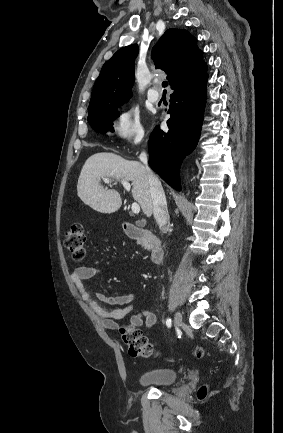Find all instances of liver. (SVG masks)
<instances>
[{"instance_id": "liver-1", "label": "liver", "mask_w": 283, "mask_h": 433, "mask_svg": "<svg viewBox=\"0 0 283 433\" xmlns=\"http://www.w3.org/2000/svg\"><path fill=\"white\" fill-rule=\"evenodd\" d=\"M110 176L116 180H131L132 196L139 202L146 217L153 212V198L145 166L138 160H126L114 152H96L82 166L77 184L81 200L98 212H116L122 204L120 192L103 186L100 180Z\"/></svg>"}]
</instances>
